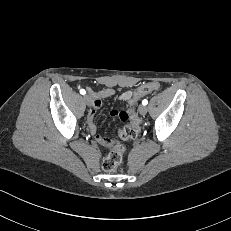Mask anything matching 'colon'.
<instances>
[{
	"mask_svg": "<svg viewBox=\"0 0 231 231\" xmlns=\"http://www.w3.org/2000/svg\"><path fill=\"white\" fill-rule=\"evenodd\" d=\"M160 87L158 82L146 83L135 90L129 100V109L122 111L119 115L123 122H128L127 125L119 131V137L122 140L135 139L141 130V119L136 112L137 101ZM124 145L116 141L110 150V152L103 158L102 169L105 172H113L117 166L121 163L124 154Z\"/></svg>",
	"mask_w": 231,
	"mask_h": 231,
	"instance_id": "colon-1",
	"label": "colon"
}]
</instances>
